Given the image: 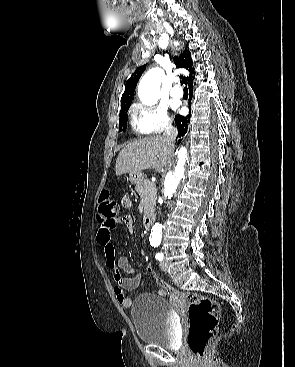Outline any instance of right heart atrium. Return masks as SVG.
<instances>
[{
	"instance_id": "obj_1",
	"label": "right heart atrium",
	"mask_w": 295,
	"mask_h": 367,
	"mask_svg": "<svg viewBox=\"0 0 295 367\" xmlns=\"http://www.w3.org/2000/svg\"><path fill=\"white\" fill-rule=\"evenodd\" d=\"M172 121L166 107L157 104H136L132 109V126L140 135L163 133L171 128Z\"/></svg>"
}]
</instances>
